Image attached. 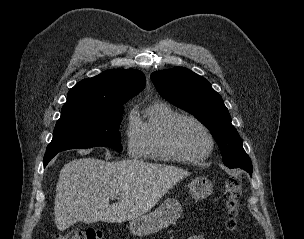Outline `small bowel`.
<instances>
[{"label": "small bowel", "mask_w": 304, "mask_h": 239, "mask_svg": "<svg viewBox=\"0 0 304 239\" xmlns=\"http://www.w3.org/2000/svg\"><path fill=\"white\" fill-rule=\"evenodd\" d=\"M188 239H205V237L201 234H195V235L188 237Z\"/></svg>", "instance_id": "c3829d8e"}]
</instances>
